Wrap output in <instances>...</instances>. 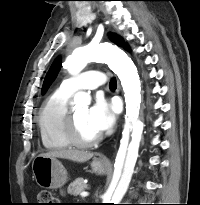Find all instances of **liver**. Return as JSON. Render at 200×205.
Instances as JSON below:
<instances>
[{"label":"liver","instance_id":"liver-1","mask_svg":"<svg viewBox=\"0 0 200 205\" xmlns=\"http://www.w3.org/2000/svg\"><path fill=\"white\" fill-rule=\"evenodd\" d=\"M41 155L46 157H52V158L68 159L79 163L86 162L93 157L92 153L75 150V149L55 150V151L43 153Z\"/></svg>","mask_w":200,"mask_h":205}]
</instances>
